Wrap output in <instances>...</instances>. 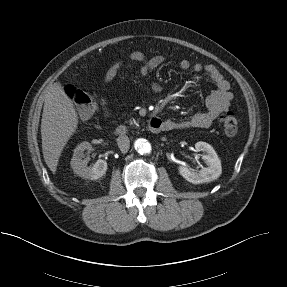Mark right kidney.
Returning a JSON list of instances; mask_svg holds the SVG:
<instances>
[{"label":"right kidney","instance_id":"obj_1","mask_svg":"<svg viewBox=\"0 0 287 287\" xmlns=\"http://www.w3.org/2000/svg\"><path fill=\"white\" fill-rule=\"evenodd\" d=\"M92 145L88 142H82L74 149L71 159V167L74 173L85 179L97 180L107 171V162L99 159L93 166H87L89 158H84V151H90Z\"/></svg>","mask_w":287,"mask_h":287}]
</instances>
